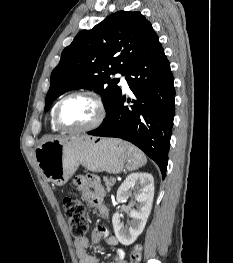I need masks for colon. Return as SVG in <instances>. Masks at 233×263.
Instances as JSON below:
<instances>
[{
  "mask_svg": "<svg viewBox=\"0 0 233 263\" xmlns=\"http://www.w3.org/2000/svg\"><path fill=\"white\" fill-rule=\"evenodd\" d=\"M63 208L72 237L76 240L84 238L88 230V224L83 204L76 197L68 195L63 200ZM142 254V245L136 244L130 253V263H140Z\"/></svg>",
  "mask_w": 233,
  "mask_h": 263,
  "instance_id": "colon-1",
  "label": "colon"
}]
</instances>
